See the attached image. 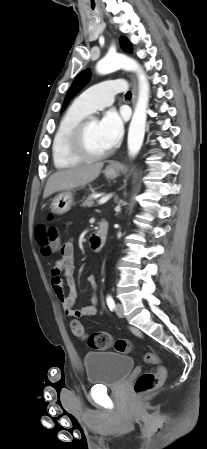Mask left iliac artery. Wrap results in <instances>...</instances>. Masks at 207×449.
I'll return each mask as SVG.
<instances>
[{
  "instance_id": "44dca946",
  "label": "left iliac artery",
  "mask_w": 207,
  "mask_h": 449,
  "mask_svg": "<svg viewBox=\"0 0 207 449\" xmlns=\"http://www.w3.org/2000/svg\"><path fill=\"white\" fill-rule=\"evenodd\" d=\"M106 302H107V305H108V307H109V309L111 311L115 310L116 305H115L114 299H113V297L111 295L107 296Z\"/></svg>"
}]
</instances>
